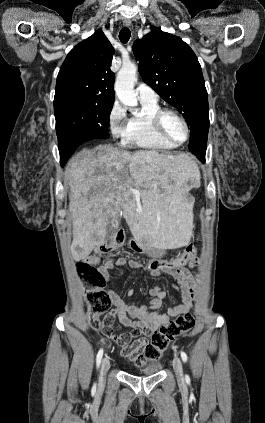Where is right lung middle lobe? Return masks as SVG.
Returning a JSON list of instances; mask_svg holds the SVG:
<instances>
[{
	"label": "right lung middle lobe",
	"mask_w": 265,
	"mask_h": 423,
	"mask_svg": "<svg viewBox=\"0 0 265 423\" xmlns=\"http://www.w3.org/2000/svg\"><path fill=\"white\" fill-rule=\"evenodd\" d=\"M112 106L79 98L54 100L61 166L73 154L63 142L70 136L83 135L90 139L109 138L108 124Z\"/></svg>",
	"instance_id": "obj_1"
}]
</instances>
